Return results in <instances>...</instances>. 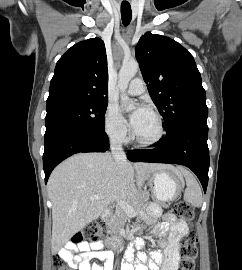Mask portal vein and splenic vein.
Listing matches in <instances>:
<instances>
[{
    "mask_svg": "<svg viewBox=\"0 0 242 270\" xmlns=\"http://www.w3.org/2000/svg\"><path fill=\"white\" fill-rule=\"evenodd\" d=\"M101 198H102L101 195H91L89 197L90 200H99ZM117 204L126 214H128V215H136L137 214V212L134 210L133 206L130 203H128L124 200H118Z\"/></svg>",
    "mask_w": 242,
    "mask_h": 270,
    "instance_id": "18ae733b",
    "label": "portal vein and splenic vein"
}]
</instances>
